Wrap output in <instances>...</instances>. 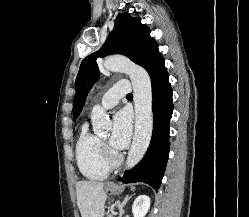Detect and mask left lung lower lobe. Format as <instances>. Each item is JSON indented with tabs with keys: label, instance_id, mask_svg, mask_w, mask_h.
<instances>
[{
	"label": "left lung lower lobe",
	"instance_id": "left-lung-lower-lobe-1",
	"mask_svg": "<svg viewBox=\"0 0 249 217\" xmlns=\"http://www.w3.org/2000/svg\"><path fill=\"white\" fill-rule=\"evenodd\" d=\"M153 99V133L143 159L119 180L123 183L144 182L158 190L169 156V126L173 112L172 88L164 59L150 74Z\"/></svg>",
	"mask_w": 249,
	"mask_h": 217
}]
</instances>
